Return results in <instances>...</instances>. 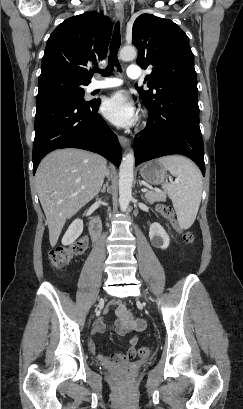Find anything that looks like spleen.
Segmentation results:
<instances>
[{
    "mask_svg": "<svg viewBox=\"0 0 243 409\" xmlns=\"http://www.w3.org/2000/svg\"><path fill=\"white\" fill-rule=\"evenodd\" d=\"M159 162L178 180L176 185L165 183L162 188L172 200L180 227L188 229L196 219L201 202V173L183 156H166L160 158Z\"/></svg>",
    "mask_w": 243,
    "mask_h": 409,
    "instance_id": "obj_1",
    "label": "spleen"
}]
</instances>
